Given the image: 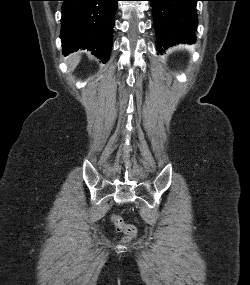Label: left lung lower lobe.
<instances>
[{
    "mask_svg": "<svg viewBox=\"0 0 250 285\" xmlns=\"http://www.w3.org/2000/svg\"><path fill=\"white\" fill-rule=\"evenodd\" d=\"M156 30L157 51L179 43H195L196 2L200 0H149Z\"/></svg>",
    "mask_w": 250,
    "mask_h": 285,
    "instance_id": "obj_1",
    "label": "left lung lower lobe"
}]
</instances>
